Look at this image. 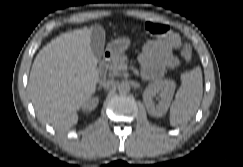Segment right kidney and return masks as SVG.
Returning a JSON list of instances; mask_svg holds the SVG:
<instances>
[{
    "instance_id": "1",
    "label": "right kidney",
    "mask_w": 243,
    "mask_h": 167,
    "mask_svg": "<svg viewBox=\"0 0 243 167\" xmlns=\"http://www.w3.org/2000/svg\"><path fill=\"white\" fill-rule=\"evenodd\" d=\"M98 102H99L98 98L96 97L90 98L83 104L82 108L84 111H92L96 108Z\"/></svg>"
}]
</instances>
